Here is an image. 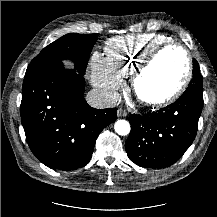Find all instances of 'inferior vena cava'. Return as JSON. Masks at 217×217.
Returning a JSON list of instances; mask_svg holds the SVG:
<instances>
[{
  "mask_svg": "<svg viewBox=\"0 0 217 217\" xmlns=\"http://www.w3.org/2000/svg\"><path fill=\"white\" fill-rule=\"evenodd\" d=\"M87 103L96 109L114 107L120 103V96L117 92L93 89L87 93Z\"/></svg>",
  "mask_w": 217,
  "mask_h": 217,
  "instance_id": "obj_1",
  "label": "inferior vena cava"
}]
</instances>
